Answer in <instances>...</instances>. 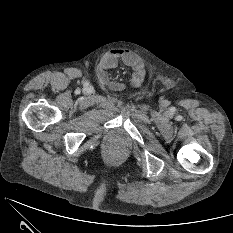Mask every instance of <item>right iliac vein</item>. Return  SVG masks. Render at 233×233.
<instances>
[{
	"instance_id": "right-iliac-vein-1",
	"label": "right iliac vein",
	"mask_w": 233,
	"mask_h": 233,
	"mask_svg": "<svg viewBox=\"0 0 233 233\" xmlns=\"http://www.w3.org/2000/svg\"><path fill=\"white\" fill-rule=\"evenodd\" d=\"M87 91H88V92L91 91L90 87L87 88Z\"/></svg>"
}]
</instances>
